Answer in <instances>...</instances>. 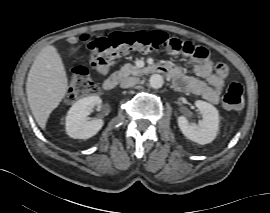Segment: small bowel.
I'll return each mask as SVG.
<instances>
[{"label":"small bowel","instance_id":"c3829d8e","mask_svg":"<svg viewBox=\"0 0 270 213\" xmlns=\"http://www.w3.org/2000/svg\"><path fill=\"white\" fill-rule=\"evenodd\" d=\"M169 47L170 44L167 43L165 48L169 50ZM175 52L177 53V51ZM163 67L169 70L170 78L180 90L200 95L211 103L218 102L225 87V77L215 70V64L209 57L193 60V72L196 77L183 74L176 65H164ZM96 71L101 76H107L109 66L106 64L98 65Z\"/></svg>","mask_w":270,"mask_h":213}]
</instances>
